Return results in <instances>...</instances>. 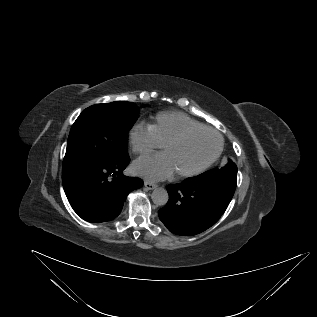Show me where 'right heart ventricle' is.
I'll return each mask as SVG.
<instances>
[{
    "label": "right heart ventricle",
    "mask_w": 317,
    "mask_h": 317,
    "mask_svg": "<svg viewBox=\"0 0 317 317\" xmlns=\"http://www.w3.org/2000/svg\"><path fill=\"white\" fill-rule=\"evenodd\" d=\"M155 137L163 145L167 140L188 128L204 127L185 113L165 111L157 113L150 125Z\"/></svg>",
    "instance_id": "e07e8e85"
}]
</instances>
